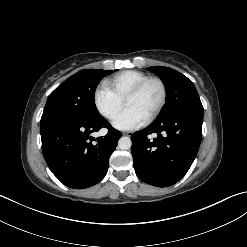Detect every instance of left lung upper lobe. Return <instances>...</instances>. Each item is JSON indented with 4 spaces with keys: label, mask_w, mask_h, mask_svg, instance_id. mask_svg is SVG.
Returning <instances> with one entry per match:
<instances>
[{
    "label": "left lung upper lobe",
    "mask_w": 247,
    "mask_h": 247,
    "mask_svg": "<svg viewBox=\"0 0 247 247\" xmlns=\"http://www.w3.org/2000/svg\"><path fill=\"white\" fill-rule=\"evenodd\" d=\"M157 74L167 89L166 105L155 121H162L179 112L203 113V106L197 90L190 79L180 72L162 66L148 67Z\"/></svg>",
    "instance_id": "1"
}]
</instances>
